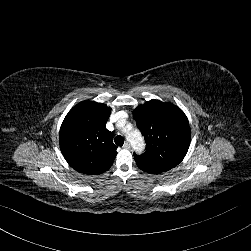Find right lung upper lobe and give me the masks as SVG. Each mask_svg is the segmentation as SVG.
I'll return each mask as SVG.
<instances>
[{
  "label": "right lung upper lobe",
  "mask_w": 251,
  "mask_h": 251,
  "mask_svg": "<svg viewBox=\"0 0 251 251\" xmlns=\"http://www.w3.org/2000/svg\"><path fill=\"white\" fill-rule=\"evenodd\" d=\"M110 113L103 103L83 101L66 115L59 133L60 149L76 171L99 175L113 164L117 147L105 127Z\"/></svg>",
  "instance_id": "right-lung-upper-lobe-1"
}]
</instances>
